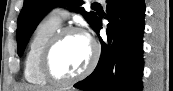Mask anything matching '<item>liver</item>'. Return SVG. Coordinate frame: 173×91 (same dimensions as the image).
Here are the masks:
<instances>
[{"mask_svg":"<svg viewBox=\"0 0 173 91\" xmlns=\"http://www.w3.org/2000/svg\"><path fill=\"white\" fill-rule=\"evenodd\" d=\"M14 91H39V90L34 86L26 85L20 88H15Z\"/></svg>","mask_w":173,"mask_h":91,"instance_id":"obj_1","label":"liver"}]
</instances>
